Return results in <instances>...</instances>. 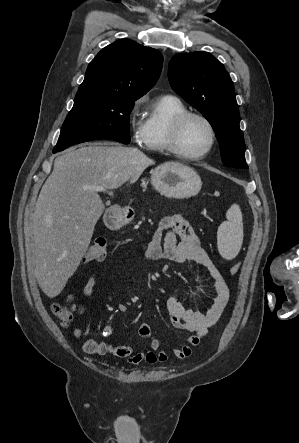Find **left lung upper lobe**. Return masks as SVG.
Here are the masks:
<instances>
[{
  "mask_svg": "<svg viewBox=\"0 0 299 443\" xmlns=\"http://www.w3.org/2000/svg\"><path fill=\"white\" fill-rule=\"evenodd\" d=\"M168 78L172 89L213 127L224 164L248 168L234 86L223 64L207 52L177 54L169 62Z\"/></svg>",
  "mask_w": 299,
  "mask_h": 443,
  "instance_id": "5c2ea615",
  "label": "left lung upper lobe"
}]
</instances>
